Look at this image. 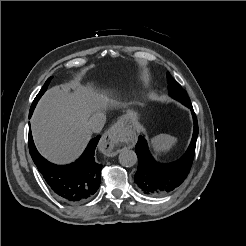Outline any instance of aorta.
<instances>
[{
  "mask_svg": "<svg viewBox=\"0 0 246 246\" xmlns=\"http://www.w3.org/2000/svg\"><path fill=\"white\" fill-rule=\"evenodd\" d=\"M137 155L135 151L124 149L119 155V162L124 167H132L137 163Z\"/></svg>",
  "mask_w": 246,
  "mask_h": 246,
  "instance_id": "762f6f07",
  "label": "aorta"
}]
</instances>
